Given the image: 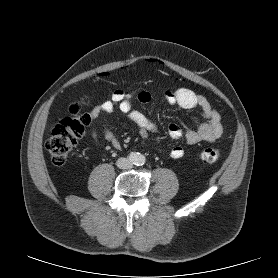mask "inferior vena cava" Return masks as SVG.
<instances>
[{
	"instance_id": "602c4592",
	"label": "inferior vena cava",
	"mask_w": 278,
	"mask_h": 278,
	"mask_svg": "<svg viewBox=\"0 0 278 278\" xmlns=\"http://www.w3.org/2000/svg\"><path fill=\"white\" fill-rule=\"evenodd\" d=\"M116 164L117 167L120 169H129L132 167V163L127 158L124 157L119 158Z\"/></svg>"
}]
</instances>
